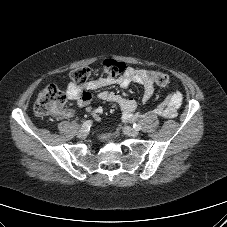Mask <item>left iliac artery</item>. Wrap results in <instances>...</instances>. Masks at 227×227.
<instances>
[{
  "label": "left iliac artery",
  "mask_w": 227,
  "mask_h": 227,
  "mask_svg": "<svg viewBox=\"0 0 227 227\" xmlns=\"http://www.w3.org/2000/svg\"><path fill=\"white\" fill-rule=\"evenodd\" d=\"M133 127H134V129H136V130H140L141 129V125L140 124H133Z\"/></svg>",
  "instance_id": "1"
}]
</instances>
